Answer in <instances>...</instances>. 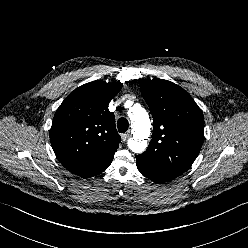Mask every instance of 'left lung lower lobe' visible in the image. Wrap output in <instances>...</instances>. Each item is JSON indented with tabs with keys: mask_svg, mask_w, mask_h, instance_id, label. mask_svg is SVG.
Masks as SVG:
<instances>
[{
	"mask_svg": "<svg viewBox=\"0 0 248 248\" xmlns=\"http://www.w3.org/2000/svg\"><path fill=\"white\" fill-rule=\"evenodd\" d=\"M137 168H138V170H139L144 176H146L147 178L151 179L152 181H154V182H159V183L163 182L162 180H160V179H158V178H155V177H152V176H150L149 174L145 173V172L141 169V167H140L139 164H137Z\"/></svg>",
	"mask_w": 248,
	"mask_h": 248,
	"instance_id": "obj_1",
	"label": "left lung lower lobe"
}]
</instances>
